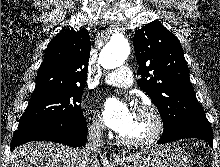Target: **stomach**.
<instances>
[{"label": "stomach", "instance_id": "stomach-1", "mask_svg": "<svg viewBox=\"0 0 220 167\" xmlns=\"http://www.w3.org/2000/svg\"><path fill=\"white\" fill-rule=\"evenodd\" d=\"M119 163L124 167H192L190 155L174 144L143 148Z\"/></svg>", "mask_w": 220, "mask_h": 167}]
</instances>
